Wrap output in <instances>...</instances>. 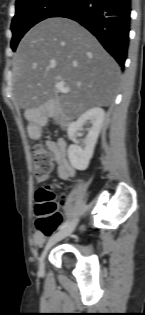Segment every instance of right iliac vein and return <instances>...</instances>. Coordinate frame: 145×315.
Returning a JSON list of instances; mask_svg holds the SVG:
<instances>
[{
	"instance_id": "1",
	"label": "right iliac vein",
	"mask_w": 145,
	"mask_h": 315,
	"mask_svg": "<svg viewBox=\"0 0 145 315\" xmlns=\"http://www.w3.org/2000/svg\"><path fill=\"white\" fill-rule=\"evenodd\" d=\"M78 220L75 219L73 220L67 227L62 229L61 231L57 232L56 234L52 235L49 239V241L46 244V247L44 251L42 252L40 258H39V272L43 273L44 272V266H45V256L48 252V250L55 245L57 242L60 240L64 239L65 237L69 236L73 230L75 229L77 225Z\"/></svg>"
}]
</instances>
